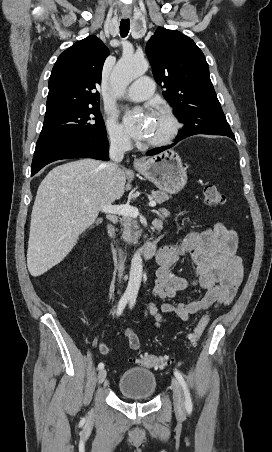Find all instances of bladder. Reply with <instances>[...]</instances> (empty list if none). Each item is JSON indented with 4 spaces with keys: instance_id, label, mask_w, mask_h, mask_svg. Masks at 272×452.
Here are the masks:
<instances>
[{
    "instance_id": "bladder-1",
    "label": "bladder",
    "mask_w": 272,
    "mask_h": 452,
    "mask_svg": "<svg viewBox=\"0 0 272 452\" xmlns=\"http://www.w3.org/2000/svg\"><path fill=\"white\" fill-rule=\"evenodd\" d=\"M156 375L149 369L133 367L120 376L117 389L124 397L132 399H149L157 392Z\"/></svg>"
}]
</instances>
